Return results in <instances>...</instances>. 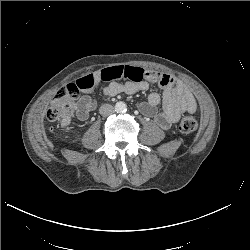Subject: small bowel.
I'll return each mask as SVG.
<instances>
[{
	"instance_id": "obj_1",
	"label": "small bowel",
	"mask_w": 250,
	"mask_h": 250,
	"mask_svg": "<svg viewBox=\"0 0 250 250\" xmlns=\"http://www.w3.org/2000/svg\"><path fill=\"white\" fill-rule=\"evenodd\" d=\"M101 82L107 83L103 93L111 97L121 93L132 95L146 91L151 84H157L161 89V95L151 93L147 101L140 104V111L145 116L153 118L162 129H168L184 112L193 113L197 108L193 94L183 82L154 70L135 66H114L90 73L76 81V85L83 92L76 104V115L79 120H87L95 108L96 102L90 92ZM160 104L161 110H158ZM69 124L70 120L62 122L63 127Z\"/></svg>"
}]
</instances>
